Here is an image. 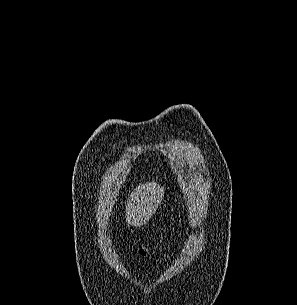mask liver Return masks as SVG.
<instances>
[{
	"label": "liver",
	"mask_w": 297,
	"mask_h": 305,
	"mask_svg": "<svg viewBox=\"0 0 297 305\" xmlns=\"http://www.w3.org/2000/svg\"><path fill=\"white\" fill-rule=\"evenodd\" d=\"M162 197L163 188L156 183L139 184L127 199V224L140 227L147 223L158 208Z\"/></svg>",
	"instance_id": "liver-1"
}]
</instances>
